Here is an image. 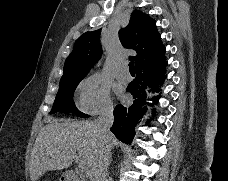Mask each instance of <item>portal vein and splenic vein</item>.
I'll list each match as a JSON object with an SVG mask.
<instances>
[{"label":"portal vein and splenic vein","instance_id":"obj_1","mask_svg":"<svg viewBox=\"0 0 228 181\" xmlns=\"http://www.w3.org/2000/svg\"><path fill=\"white\" fill-rule=\"evenodd\" d=\"M74 161H76L80 173H86V175H89L88 167L85 161H81L80 157H74Z\"/></svg>","mask_w":228,"mask_h":181}]
</instances>
